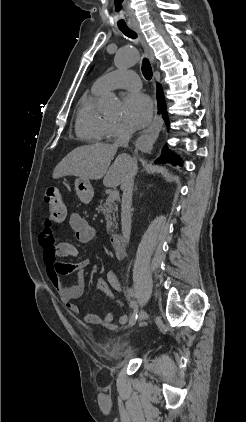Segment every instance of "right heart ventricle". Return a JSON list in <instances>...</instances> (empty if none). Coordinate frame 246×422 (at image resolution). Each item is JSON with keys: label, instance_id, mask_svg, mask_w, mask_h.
Masks as SVG:
<instances>
[{"label": "right heart ventricle", "instance_id": "e07e8e85", "mask_svg": "<svg viewBox=\"0 0 246 422\" xmlns=\"http://www.w3.org/2000/svg\"><path fill=\"white\" fill-rule=\"evenodd\" d=\"M101 94V91L93 87L82 96L76 113V134L90 142H101L106 138L108 121L96 110V102Z\"/></svg>", "mask_w": 246, "mask_h": 422}]
</instances>
